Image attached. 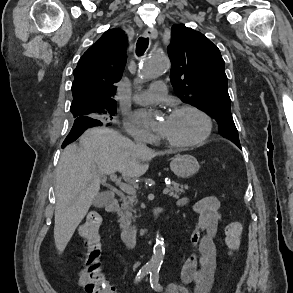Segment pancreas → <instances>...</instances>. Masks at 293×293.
<instances>
[{
    "label": "pancreas",
    "mask_w": 293,
    "mask_h": 293,
    "mask_svg": "<svg viewBox=\"0 0 293 293\" xmlns=\"http://www.w3.org/2000/svg\"><path fill=\"white\" fill-rule=\"evenodd\" d=\"M169 196L175 199H179L180 195L185 192V189H188L187 185H179L176 182H173L171 186L168 187ZM137 204V200L135 196H128L121 206L123 210L124 219L127 221H131L133 219L132 213L136 212L134 206Z\"/></svg>",
    "instance_id": "1"
}]
</instances>
